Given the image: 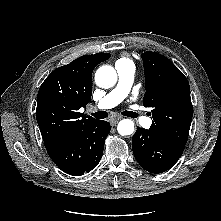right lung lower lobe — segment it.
<instances>
[{"instance_id":"right-lung-lower-lobe-1","label":"right lung lower lobe","mask_w":221,"mask_h":221,"mask_svg":"<svg viewBox=\"0 0 221 221\" xmlns=\"http://www.w3.org/2000/svg\"><path fill=\"white\" fill-rule=\"evenodd\" d=\"M109 132V122L96 120L48 154L63 172L84 175L99 163Z\"/></svg>"}]
</instances>
